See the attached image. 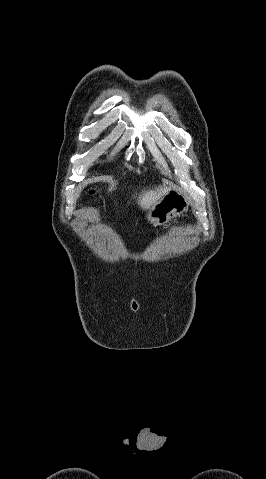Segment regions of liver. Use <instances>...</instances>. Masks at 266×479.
I'll list each match as a JSON object with an SVG mask.
<instances>
[{"mask_svg": "<svg viewBox=\"0 0 266 479\" xmlns=\"http://www.w3.org/2000/svg\"><path fill=\"white\" fill-rule=\"evenodd\" d=\"M169 188L166 186H159L154 190H144L138 197V205L143 209H148L151 205H153L157 200H159Z\"/></svg>", "mask_w": 266, "mask_h": 479, "instance_id": "obj_1", "label": "liver"}]
</instances>
